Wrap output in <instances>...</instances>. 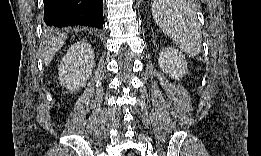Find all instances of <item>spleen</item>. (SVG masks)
<instances>
[{"mask_svg":"<svg viewBox=\"0 0 261 156\" xmlns=\"http://www.w3.org/2000/svg\"><path fill=\"white\" fill-rule=\"evenodd\" d=\"M152 16L158 27L187 56L201 52L200 29L191 5L183 0H154Z\"/></svg>","mask_w":261,"mask_h":156,"instance_id":"1","label":"spleen"}]
</instances>
